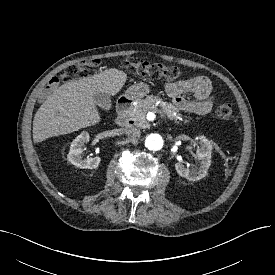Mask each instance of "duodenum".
<instances>
[{"instance_id":"obj_1","label":"duodenum","mask_w":275,"mask_h":275,"mask_svg":"<svg viewBox=\"0 0 275 275\" xmlns=\"http://www.w3.org/2000/svg\"><path fill=\"white\" fill-rule=\"evenodd\" d=\"M132 105V99L122 97L117 103L116 123L119 126H126L130 123L129 111Z\"/></svg>"}]
</instances>
